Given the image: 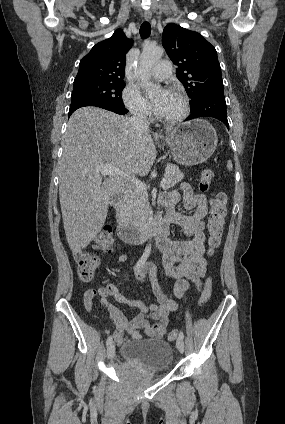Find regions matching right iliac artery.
I'll return each instance as SVG.
<instances>
[{
    "label": "right iliac artery",
    "mask_w": 285,
    "mask_h": 424,
    "mask_svg": "<svg viewBox=\"0 0 285 424\" xmlns=\"http://www.w3.org/2000/svg\"><path fill=\"white\" fill-rule=\"evenodd\" d=\"M150 255V249H145L143 255L141 256V258L139 259V261L136 263L135 267H134V271H136L137 269H139L147 260V258ZM113 341V337L109 336L106 340V345L109 346Z\"/></svg>",
    "instance_id": "right-iliac-artery-1"
}]
</instances>
